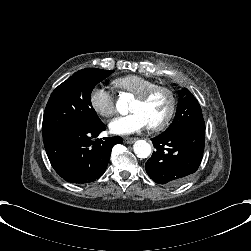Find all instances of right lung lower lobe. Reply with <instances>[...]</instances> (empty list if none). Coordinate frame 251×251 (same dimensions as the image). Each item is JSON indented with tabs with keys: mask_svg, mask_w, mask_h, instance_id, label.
Here are the masks:
<instances>
[{
	"mask_svg": "<svg viewBox=\"0 0 251 251\" xmlns=\"http://www.w3.org/2000/svg\"><path fill=\"white\" fill-rule=\"evenodd\" d=\"M105 125L90 128L73 125L43 136L49 161L64 180L86 184L100 178L105 172L112 147L122 143L119 136L96 139Z\"/></svg>",
	"mask_w": 251,
	"mask_h": 251,
	"instance_id": "obj_1",
	"label": "right lung lower lobe"
}]
</instances>
